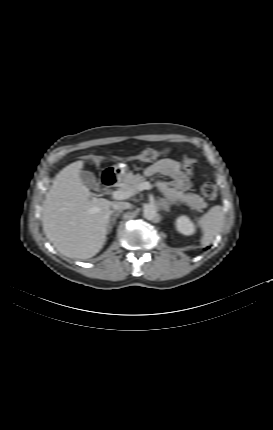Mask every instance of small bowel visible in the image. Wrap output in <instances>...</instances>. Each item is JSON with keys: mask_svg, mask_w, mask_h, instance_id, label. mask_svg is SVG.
Masks as SVG:
<instances>
[{"mask_svg": "<svg viewBox=\"0 0 273 430\" xmlns=\"http://www.w3.org/2000/svg\"><path fill=\"white\" fill-rule=\"evenodd\" d=\"M145 174L166 176L169 184L179 190H188L192 185V172L189 169L183 171L178 161L169 158L156 161L146 169Z\"/></svg>", "mask_w": 273, "mask_h": 430, "instance_id": "1", "label": "small bowel"}]
</instances>
